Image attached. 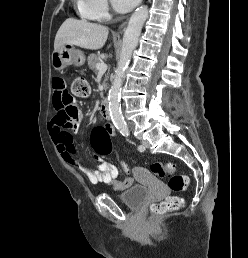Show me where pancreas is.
<instances>
[{"label": "pancreas", "mask_w": 248, "mask_h": 258, "mask_svg": "<svg viewBox=\"0 0 248 258\" xmlns=\"http://www.w3.org/2000/svg\"><path fill=\"white\" fill-rule=\"evenodd\" d=\"M88 66L94 71L96 72L97 71V67H96V64L97 63H100V58L95 55V54H90L88 56ZM106 78H108V75L105 76ZM104 87L106 88L107 85L104 83Z\"/></svg>", "instance_id": "1"}]
</instances>
